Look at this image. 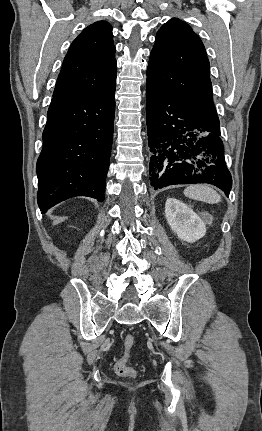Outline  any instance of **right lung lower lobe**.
<instances>
[{"instance_id":"right-lung-lower-lobe-1","label":"right lung lower lobe","mask_w":262,"mask_h":431,"mask_svg":"<svg viewBox=\"0 0 262 431\" xmlns=\"http://www.w3.org/2000/svg\"><path fill=\"white\" fill-rule=\"evenodd\" d=\"M115 91L103 98H53L37 161L40 210L74 196L104 200Z\"/></svg>"}]
</instances>
